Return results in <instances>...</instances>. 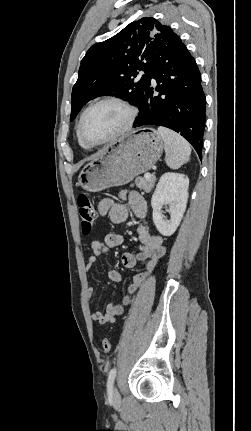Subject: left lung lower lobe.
Instances as JSON below:
<instances>
[{
    "label": "left lung lower lobe",
    "mask_w": 251,
    "mask_h": 431,
    "mask_svg": "<svg viewBox=\"0 0 251 431\" xmlns=\"http://www.w3.org/2000/svg\"><path fill=\"white\" fill-rule=\"evenodd\" d=\"M157 86H151V79ZM135 127L158 125L180 133L202 159L206 97L195 59L175 33L153 54Z\"/></svg>",
    "instance_id": "0a47b994"
}]
</instances>
